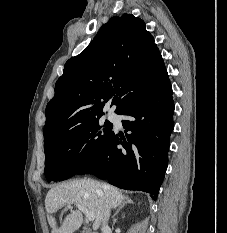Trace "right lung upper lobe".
Here are the masks:
<instances>
[{
  "instance_id": "right-lung-upper-lobe-1",
  "label": "right lung upper lobe",
  "mask_w": 227,
  "mask_h": 233,
  "mask_svg": "<svg viewBox=\"0 0 227 233\" xmlns=\"http://www.w3.org/2000/svg\"><path fill=\"white\" fill-rule=\"evenodd\" d=\"M168 80L161 54L143 20L111 18L89 46L69 59L46 107L44 145L100 118L111 98L119 114Z\"/></svg>"
}]
</instances>
